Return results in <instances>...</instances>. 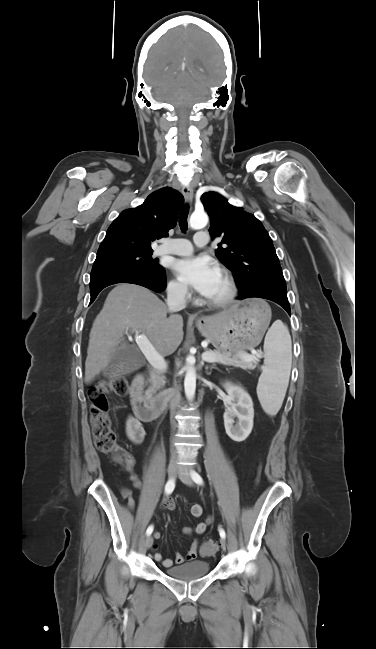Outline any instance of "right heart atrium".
Wrapping results in <instances>:
<instances>
[{
	"label": "right heart atrium",
	"instance_id": "d8ad5b80",
	"mask_svg": "<svg viewBox=\"0 0 376 649\" xmlns=\"http://www.w3.org/2000/svg\"><path fill=\"white\" fill-rule=\"evenodd\" d=\"M166 290L169 297L178 302H185L190 297L187 287L177 280H170L167 283Z\"/></svg>",
	"mask_w": 376,
	"mask_h": 649
}]
</instances>
